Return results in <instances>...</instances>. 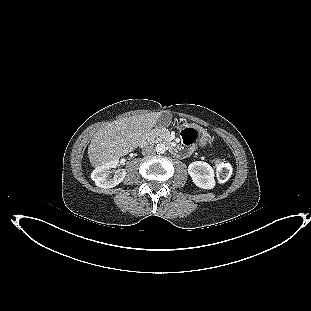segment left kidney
Returning a JSON list of instances; mask_svg holds the SVG:
<instances>
[{
  "instance_id": "left-kidney-1",
  "label": "left kidney",
  "mask_w": 311,
  "mask_h": 311,
  "mask_svg": "<svg viewBox=\"0 0 311 311\" xmlns=\"http://www.w3.org/2000/svg\"><path fill=\"white\" fill-rule=\"evenodd\" d=\"M188 174L199 188L213 189L215 186L214 170L206 162L195 161L189 164Z\"/></svg>"
}]
</instances>
